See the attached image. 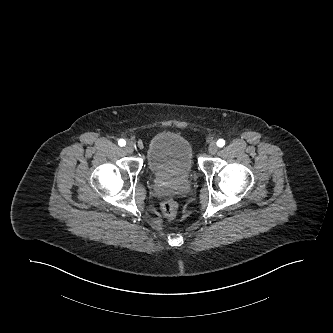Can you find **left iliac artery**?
Returning <instances> with one entry per match:
<instances>
[{"label": "left iliac artery", "mask_w": 333, "mask_h": 333, "mask_svg": "<svg viewBox=\"0 0 333 333\" xmlns=\"http://www.w3.org/2000/svg\"><path fill=\"white\" fill-rule=\"evenodd\" d=\"M225 145V140H223V139H219L218 141H217V146L218 147H223Z\"/></svg>", "instance_id": "1"}]
</instances>
